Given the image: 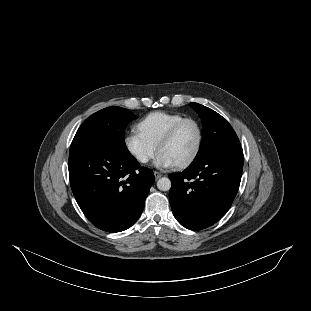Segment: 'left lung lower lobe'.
Segmentation results:
<instances>
[{
  "label": "left lung lower lobe",
  "instance_id": "left-lung-lower-lobe-1",
  "mask_svg": "<svg viewBox=\"0 0 311 311\" xmlns=\"http://www.w3.org/2000/svg\"><path fill=\"white\" fill-rule=\"evenodd\" d=\"M241 147L218 152L169 175L171 209L176 220L190 230L205 229L229 210L240 185Z\"/></svg>",
  "mask_w": 311,
  "mask_h": 311
}]
</instances>
